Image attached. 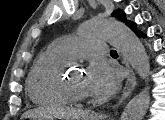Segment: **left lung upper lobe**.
<instances>
[{
	"instance_id": "5c2ea615",
	"label": "left lung upper lobe",
	"mask_w": 165,
	"mask_h": 120,
	"mask_svg": "<svg viewBox=\"0 0 165 120\" xmlns=\"http://www.w3.org/2000/svg\"><path fill=\"white\" fill-rule=\"evenodd\" d=\"M112 16H115L117 17L120 21L122 22H125L128 26L130 25V21H127L126 18H125V13L121 10H118V11H114L112 13Z\"/></svg>"
}]
</instances>
